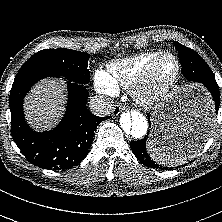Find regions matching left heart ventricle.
Returning a JSON list of instances; mask_svg holds the SVG:
<instances>
[{
    "mask_svg": "<svg viewBox=\"0 0 222 222\" xmlns=\"http://www.w3.org/2000/svg\"><path fill=\"white\" fill-rule=\"evenodd\" d=\"M176 70V63L175 61L170 58L166 57L163 58L156 66L154 73H153V83L154 85L158 86L166 81H168Z\"/></svg>",
    "mask_w": 222,
    "mask_h": 222,
    "instance_id": "obj_1",
    "label": "left heart ventricle"
}]
</instances>
